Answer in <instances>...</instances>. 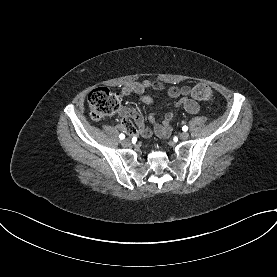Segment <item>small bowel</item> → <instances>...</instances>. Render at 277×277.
I'll list each match as a JSON object with an SVG mask.
<instances>
[{
    "label": "small bowel",
    "instance_id": "small-bowel-1",
    "mask_svg": "<svg viewBox=\"0 0 277 277\" xmlns=\"http://www.w3.org/2000/svg\"><path fill=\"white\" fill-rule=\"evenodd\" d=\"M149 89L163 90L164 86L158 81H135L126 84L120 91L122 97L129 96L131 94L140 95V100L146 105L153 103V98L146 94ZM167 94L170 98L177 99L175 103L176 108H183L190 114H196L200 110L199 104L191 97V89L189 86H172L167 90ZM123 117V126L130 132L135 133L136 130L130 122V118L135 122L138 132L145 138H149L152 135H156L160 138H166L172 131V125L174 121V113L167 112L161 116V120H157V114L151 113L148 117L150 126L145 125L143 116L132 108H124L121 111Z\"/></svg>",
    "mask_w": 277,
    "mask_h": 277
}]
</instances>
